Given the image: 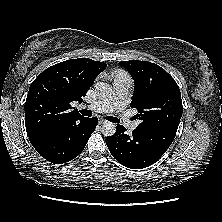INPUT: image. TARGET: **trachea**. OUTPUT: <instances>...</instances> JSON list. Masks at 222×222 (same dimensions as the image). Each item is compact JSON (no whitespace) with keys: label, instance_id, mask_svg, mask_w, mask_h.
<instances>
[{"label":"trachea","instance_id":"3493384b","mask_svg":"<svg viewBox=\"0 0 222 222\" xmlns=\"http://www.w3.org/2000/svg\"><path fill=\"white\" fill-rule=\"evenodd\" d=\"M80 113L84 116H92V112L90 110L83 109V110H80ZM106 119L110 122H113V123L120 122L119 119H117L116 117H113V116H108V117H106Z\"/></svg>","mask_w":222,"mask_h":222}]
</instances>
